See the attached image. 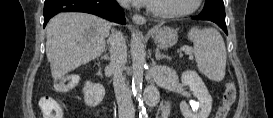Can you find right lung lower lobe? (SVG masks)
Here are the masks:
<instances>
[{
    "instance_id": "obj_1",
    "label": "right lung lower lobe",
    "mask_w": 273,
    "mask_h": 118,
    "mask_svg": "<svg viewBox=\"0 0 273 118\" xmlns=\"http://www.w3.org/2000/svg\"><path fill=\"white\" fill-rule=\"evenodd\" d=\"M60 12H85L119 24L126 23L123 9L116 0H45L44 27L51 17Z\"/></svg>"
}]
</instances>
